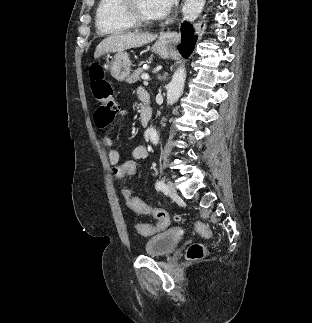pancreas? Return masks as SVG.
<instances>
[{
	"label": "pancreas",
	"mask_w": 312,
	"mask_h": 323,
	"mask_svg": "<svg viewBox=\"0 0 312 323\" xmlns=\"http://www.w3.org/2000/svg\"><path fill=\"white\" fill-rule=\"evenodd\" d=\"M141 74H145V72L143 68H138V70H135V72H133V74L127 78L126 82H128V84H135L137 80H140Z\"/></svg>",
	"instance_id": "cf45deb5"
}]
</instances>
